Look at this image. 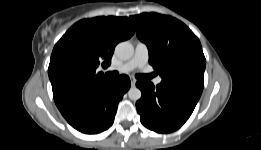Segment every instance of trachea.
I'll list each match as a JSON object with an SVG mask.
<instances>
[{"label": "trachea", "mask_w": 261, "mask_h": 150, "mask_svg": "<svg viewBox=\"0 0 261 150\" xmlns=\"http://www.w3.org/2000/svg\"><path fill=\"white\" fill-rule=\"evenodd\" d=\"M107 75L114 78V77L119 76V72H117V71L108 72ZM152 77H153V74H148V75L138 74V75H136V78H138V79H150Z\"/></svg>", "instance_id": "1"}]
</instances>
